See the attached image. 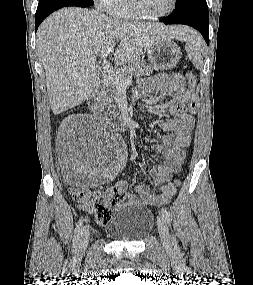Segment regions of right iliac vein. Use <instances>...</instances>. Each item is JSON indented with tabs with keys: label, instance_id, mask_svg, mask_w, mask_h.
Listing matches in <instances>:
<instances>
[{
	"label": "right iliac vein",
	"instance_id": "right-iliac-vein-1",
	"mask_svg": "<svg viewBox=\"0 0 253 285\" xmlns=\"http://www.w3.org/2000/svg\"><path fill=\"white\" fill-rule=\"evenodd\" d=\"M89 236H90L89 228L88 226H85L81 232L80 240L77 246V252L79 254L83 253L86 250L89 242Z\"/></svg>",
	"mask_w": 253,
	"mask_h": 285
}]
</instances>
